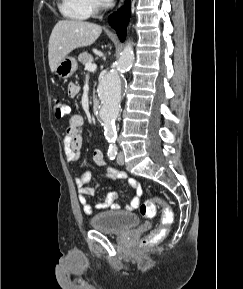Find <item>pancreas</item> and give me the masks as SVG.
Segmentation results:
<instances>
[{
  "instance_id": "1",
  "label": "pancreas",
  "mask_w": 243,
  "mask_h": 289,
  "mask_svg": "<svg viewBox=\"0 0 243 289\" xmlns=\"http://www.w3.org/2000/svg\"><path fill=\"white\" fill-rule=\"evenodd\" d=\"M78 60L80 63H82L83 65H86L88 62H92L93 61V57L91 54H89L88 52H83L78 56Z\"/></svg>"
}]
</instances>
